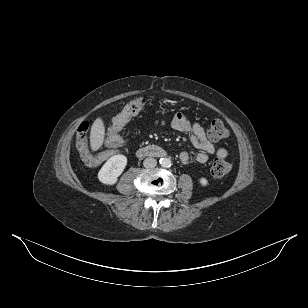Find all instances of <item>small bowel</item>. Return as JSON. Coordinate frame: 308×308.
I'll list each match as a JSON object with an SVG mask.
<instances>
[{"instance_id":"small-bowel-1","label":"small bowel","mask_w":308,"mask_h":308,"mask_svg":"<svg viewBox=\"0 0 308 308\" xmlns=\"http://www.w3.org/2000/svg\"><path fill=\"white\" fill-rule=\"evenodd\" d=\"M158 123L166 124L165 121H160ZM169 124L174 130L187 134L192 144L200 150L195 157L198 163H206L209 154H215L218 158L227 157L228 151L226 148L215 147L208 139L204 128L198 123L192 122L183 114L178 113ZM179 159L183 164H187L190 161V155L188 152L183 151L180 153Z\"/></svg>"}]
</instances>
